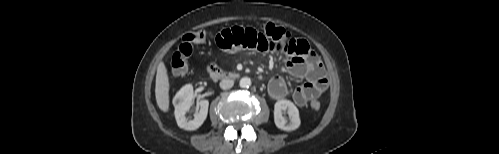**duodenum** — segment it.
Masks as SVG:
<instances>
[{"mask_svg":"<svg viewBox=\"0 0 499 154\" xmlns=\"http://www.w3.org/2000/svg\"><path fill=\"white\" fill-rule=\"evenodd\" d=\"M209 74L211 78L213 79H238L240 77L238 72L235 71H222V72H217V71H212L209 70Z\"/></svg>","mask_w":499,"mask_h":154,"instance_id":"410a0bca","label":"duodenum"}]
</instances>
